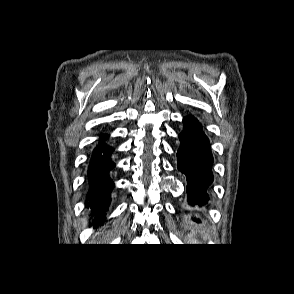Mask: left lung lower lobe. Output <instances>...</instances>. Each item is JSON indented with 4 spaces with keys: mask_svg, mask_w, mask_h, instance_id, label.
<instances>
[{
    "mask_svg": "<svg viewBox=\"0 0 294 294\" xmlns=\"http://www.w3.org/2000/svg\"><path fill=\"white\" fill-rule=\"evenodd\" d=\"M184 130L179 135L181 147L178 150V169L187 177V194L190 205L207 203V188L213 181L211 165L213 158L209 140L202 126L193 116L183 119ZM200 222L199 219H193Z\"/></svg>",
    "mask_w": 294,
    "mask_h": 294,
    "instance_id": "obj_1",
    "label": "left lung lower lobe"
}]
</instances>
